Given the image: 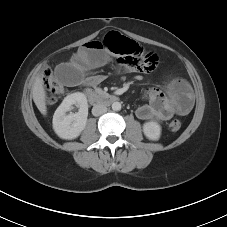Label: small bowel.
<instances>
[{"label":"small bowel","instance_id":"c3829d8e","mask_svg":"<svg viewBox=\"0 0 227 227\" xmlns=\"http://www.w3.org/2000/svg\"><path fill=\"white\" fill-rule=\"evenodd\" d=\"M109 60L103 41H91L78 49L69 63L61 64L55 71L56 80L64 87H93L104 80L102 75L86 76L87 70L101 67ZM116 65L119 69L137 73L142 64L130 57H121ZM146 103L136 109V115L144 121H167L174 114L185 115L193 107V96L189 85L182 79H170L166 92L152 87L144 92Z\"/></svg>","mask_w":227,"mask_h":227}]
</instances>
